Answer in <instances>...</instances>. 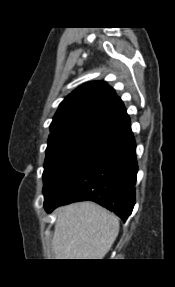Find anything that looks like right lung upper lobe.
I'll use <instances>...</instances> for the list:
<instances>
[{"instance_id": "obj_1", "label": "right lung upper lobe", "mask_w": 175, "mask_h": 287, "mask_svg": "<svg viewBox=\"0 0 175 287\" xmlns=\"http://www.w3.org/2000/svg\"><path fill=\"white\" fill-rule=\"evenodd\" d=\"M128 119L114 89L104 81H92L79 86L60 103L50 131L92 123L116 127Z\"/></svg>"}]
</instances>
